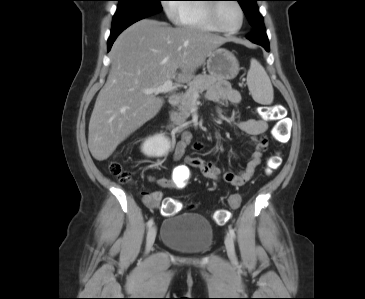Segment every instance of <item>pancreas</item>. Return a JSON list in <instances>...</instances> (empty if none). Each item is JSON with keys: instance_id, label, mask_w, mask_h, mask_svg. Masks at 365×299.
I'll list each match as a JSON object with an SVG mask.
<instances>
[{"instance_id": "pancreas-1", "label": "pancreas", "mask_w": 365, "mask_h": 299, "mask_svg": "<svg viewBox=\"0 0 365 299\" xmlns=\"http://www.w3.org/2000/svg\"><path fill=\"white\" fill-rule=\"evenodd\" d=\"M218 78L211 75L200 74L197 75L193 81L189 84V89L183 95V98L178 105V110L171 113V121L179 126H187L189 123L186 119L190 116V110L194 101L197 99L195 94L199 96V93L209 89L217 82Z\"/></svg>"}]
</instances>
